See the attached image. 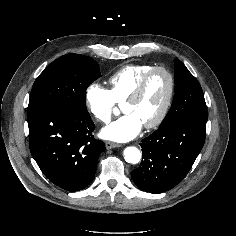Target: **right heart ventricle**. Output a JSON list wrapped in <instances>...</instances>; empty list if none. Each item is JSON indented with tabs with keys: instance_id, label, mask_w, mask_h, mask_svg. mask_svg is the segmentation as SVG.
I'll use <instances>...</instances> for the list:
<instances>
[{
	"instance_id": "obj_1",
	"label": "right heart ventricle",
	"mask_w": 236,
	"mask_h": 236,
	"mask_svg": "<svg viewBox=\"0 0 236 236\" xmlns=\"http://www.w3.org/2000/svg\"><path fill=\"white\" fill-rule=\"evenodd\" d=\"M149 64L126 65L116 71L109 79V91L116 102H124L137 86L142 76L150 70Z\"/></svg>"
}]
</instances>
